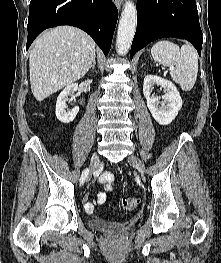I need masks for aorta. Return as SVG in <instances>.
Segmentation results:
<instances>
[{
    "instance_id": "1",
    "label": "aorta",
    "mask_w": 221,
    "mask_h": 263,
    "mask_svg": "<svg viewBox=\"0 0 221 263\" xmlns=\"http://www.w3.org/2000/svg\"><path fill=\"white\" fill-rule=\"evenodd\" d=\"M137 24V10L134 3L127 0L121 14L117 31V53L125 55L128 53L135 35Z\"/></svg>"
}]
</instances>
